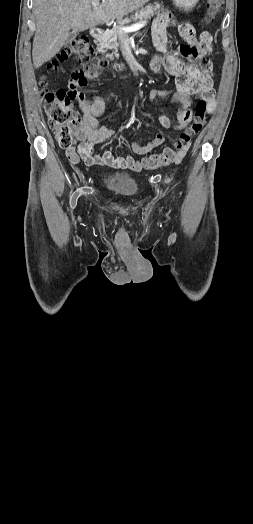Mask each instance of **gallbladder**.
Returning a JSON list of instances; mask_svg holds the SVG:
<instances>
[{
  "label": "gallbladder",
  "mask_w": 253,
  "mask_h": 524,
  "mask_svg": "<svg viewBox=\"0 0 253 524\" xmlns=\"http://www.w3.org/2000/svg\"><path fill=\"white\" fill-rule=\"evenodd\" d=\"M76 35H77V32H72V33L69 35V37L67 38V40H66V42H65V46H66L69 42H71V41L76 37Z\"/></svg>",
  "instance_id": "obj_1"
}]
</instances>
